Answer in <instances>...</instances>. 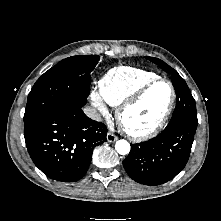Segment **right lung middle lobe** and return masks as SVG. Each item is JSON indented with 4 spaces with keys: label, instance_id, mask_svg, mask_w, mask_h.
I'll return each instance as SVG.
<instances>
[{
    "label": "right lung middle lobe",
    "instance_id": "1",
    "mask_svg": "<svg viewBox=\"0 0 221 221\" xmlns=\"http://www.w3.org/2000/svg\"><path fill=\"white\" fill-rule=\"evenodd\" d=\"M98 55L72 56L45 72L32 87L24 114V132L65 108H82L90 91V73Z\"/></svg>",
    "mask_w": 221,
    "mask_h": 221
}]
</instances>
